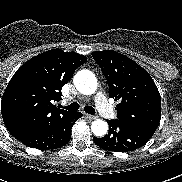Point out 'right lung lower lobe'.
I'll return each mask as SVG.
<instances>
[{
	"label": "right lung lower lobe",
	"instance_id": "1",
	"mask_svg": "<svg viewBox=\"0 0 182 182\" xmlns=\"http://www.w3.org/2000/svg\"><path fill=\"white\" fill-rule=\"evenodd\" d=\"M80 117H82L80 112H73L66 118L31 130L15 138L31 148L41 150L57 149L70 141L72 126Z\"/></svg>",
	"mask_w": 182,
	"mask_h": 182
}]
</instances>
